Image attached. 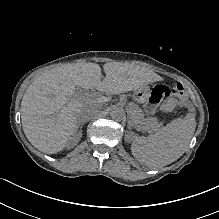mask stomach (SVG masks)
<instances>
[{
  "instance_id": "obj_1",
  "label": "stomach",
  "mask_w": 219,
  "mask_h": 219,
  "mask_svg": "<svg viewBox=\"0 0 219 219\" xmlns=\"http://www.w3.org/2000/svg\"><path fill=\"white\" fill-rule=\"evenodd\" d=\"M148 92H149V89H147L146 87L138 88L137 91L135 92V97L138 100H142L148 95Z\"/></svg>"
}]
</instances>
